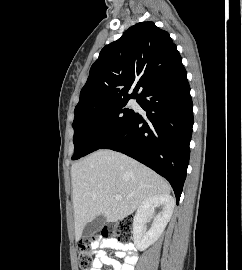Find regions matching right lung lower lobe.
<instances>
[{
	"instance_id": "obj_1",
	"label": "right lung lower lobe",
	"mask_w": 242,
	"mask_h": 270,
	"mask_svg": "<svg viewBox=\"0 0 242 270\" xmlns=\"http://www.w3.org/2000/svg\"><path fill=\"white\" fill-rule=\"evenodd\" d=\"M137 102L146 115L134 112L125 126L99 149L124 153L165 177L178 203L189 164L194 123L183 64L150 84Z\"/></svg>"
}]
</instances>
